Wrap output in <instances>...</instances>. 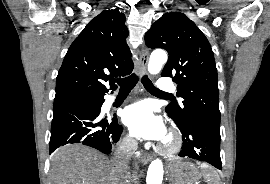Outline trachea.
Returning <instances> with one entry per match:
<instances>
[{"label":"trachea","mask_w":270,"mask_h":184,"mask_svg":"<svg viewBox=\"0 0 270 184\" xmlns=\"http://www.w3.org/2000/svg\"><path fill=\"white\" fill-rule=\"evenodd\" d=\"M137 81H138V77L135 74H132L126 78L117 80V83L120 86V91H131L136 85ZM142 83L145 89L151 93H155V94H159L163 96H170L158 90L146 75L142 78Z\"/></svg>","instance_id":"1"}]
</instances>
